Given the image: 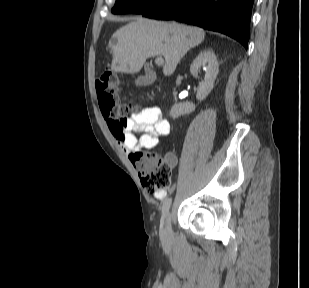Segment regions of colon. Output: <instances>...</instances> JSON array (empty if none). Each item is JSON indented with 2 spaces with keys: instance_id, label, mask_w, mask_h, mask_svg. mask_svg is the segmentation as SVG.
Masks as SVG:
<instances>
[{
  "instance_id": "obj_1",
  "label": "colon",
  "mask_w": 309,
  "mask_h": 288,
  "mask_svg": "<svg viewBox=\"0 0 309 288\" xmlns=\"http://www.w3.org/2000/svg\"><path fill=\"white\" fill-rule=\"evenodd\" d=\"M120 84L117 74L109 69L104 70L96 80L100 107L107 121L124 122L130 115L143 111L137 103L119 101ZM131 160L141 175L143 187L149 193H162L171 187L173 165L169 158L155 151H147L133 153Z\"/></svg>"
}]
</instances>
